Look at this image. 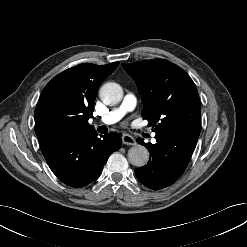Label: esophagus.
Listing matches in <instances>:
<instances>
[{
    "mask_svg": "<svg viewBox=\"0 0 247 247\" xmlns=\"http://www.w3.org/2000/svg\"><path fill=\"white\" fill-rule=\"evenodd\" d=\"M122 142L125 145H136V140L134 139L133 136L129 134H123L122 135Z\"/></svg>",
    "mask_w": 247,
    "mask_h": 247,
    "instance_id": "obj_1",
    "label": "esophagus"
}]
</instances>
